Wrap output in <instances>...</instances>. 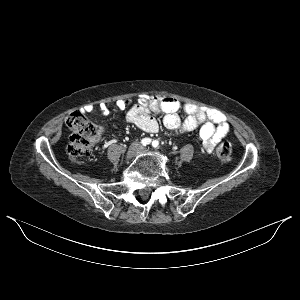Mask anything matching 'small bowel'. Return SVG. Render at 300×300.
Here are the masks:
<instances>
[{"label": "small bowel", "mask_w": 300, "mask_h": 300, "mask_svg": "<svg viewBox=\"0 0 300 300\" xmlns=\"http://www.w3.org/2000/svg\"><path fill=\"white\" fill-rule=\"evenodd\" d=\"M116 107L126 110L127 121L147 133H156L159 130L158 122L154 117L158 113H163V125L170 131L183 134L198 129L202 147L208 153L214 150L230 130L229 123L219 111L185 103L172 96H148L133 105L127 100H118ZM85 111H97L107 116L110 107L106 103L99 104L97 107L87 105ZM180 112L185 113L186 116L181 118ZM104 130L105 126L101 125L97 133L98 139Z\"/></svg>", "instance_id": "small-bowel-1"}]
</instances>
